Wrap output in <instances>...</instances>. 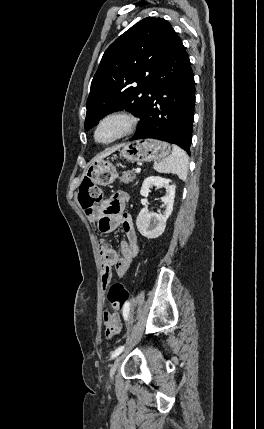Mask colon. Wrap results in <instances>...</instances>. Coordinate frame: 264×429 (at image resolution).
<instances>
[{
  "label": "colon",
  "instance_id": "obj_1",
  "mask_svg": "<svg viewBox=\"0 0 264 429\" xmlns=\"http://www.w3.org/2000/svg\"><path fill=\"white\" fill-rule=\"evenodd\" d=\"M103 191L90 180H84L79 189V203L85 212H91L103 200ZM108 301L115 313H122L129 293L121 283L112 284L107 293Z\"/></svg>",
  "mask_w": 264,
  "mask_h": 429
}]
</instances>
